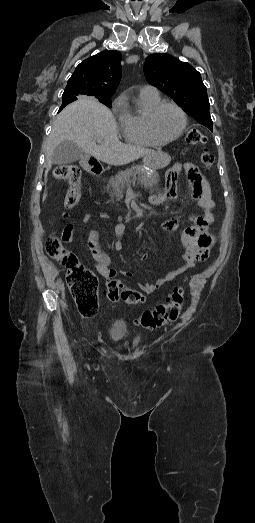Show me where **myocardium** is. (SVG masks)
Segmentation results:
<instances>
[{
  "mask_svg": "<svg viewBox=\"0 0 255 523\" xmlns=\"http://www.w3.org/2000/svg\"><path fill=\"white\" fill-rule=\"evenodd\" d=\"M165 106L174 107L179 112V114L181 116V119H182L181 128L178 131V133L175 136H173L171 138H166V139L159 137L157 135L156 131H155V128H154V118L157 115V113L159 112V110L161 108L165 107ZM186 126H187V116H186V113L179 105H177L174 102H168V101H161V102H159L158 104H156L148 112V115H147V118H146V127H147V130H148L150 136L155 141H157L158 143H161V144H167V143H171V142L177 140L184 133V131L186 129Z\"/></svg>",
  "mask_w": 255,
  "mask_h": 523,
  "instance_id": "myocardium-1",
  "label": "myocardium"
}]
</instances>
